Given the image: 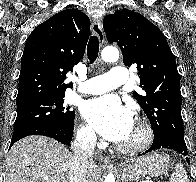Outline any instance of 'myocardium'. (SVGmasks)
Instances as JSON below:
<instances>
[{
	"mask_svg": "<svg viewBox=\"0 0 196 182\" xmlns=\"http://www.w3.org/2000/svg\"><path fill=\"white\" fill-rule=\"evenodd\" d=\"M136 123L138 124L141 132L140 139L137 143L132 145H121L118 144L117 148L119 151L127 154H136L147 149L153 140V129L150 123L144 118H136Z\"/></svg>",
	"mask_w": 196,
	"mask_h": 182,
	"instance_id": "f54148a6",
	"label": "myocardium"
}]
</instances>
